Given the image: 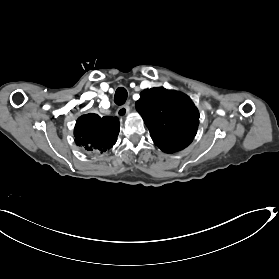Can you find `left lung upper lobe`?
<instances>
[{
    "label": "left lung upper lobe",
    "instance_id": "left-lung-upper-lobe-1",
    "mask_svg": "<svg viewBox=\"0 0 279 279\" xmlns=\"http://www.w3.org/2000/svg\"><path fill=\"white\" fill-rule=\"evenodd\" d=\"M153 142L165 153L187 147L196 135L199 112L190 98L163 87L146 89L136 102Z\"/></svg>",
    "mask_w": 279,
    "mask_h": 279
}]
</instances>
